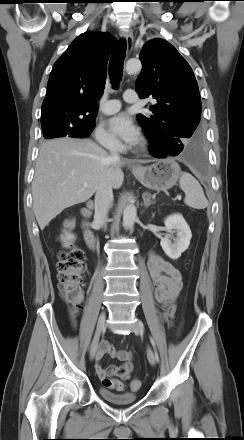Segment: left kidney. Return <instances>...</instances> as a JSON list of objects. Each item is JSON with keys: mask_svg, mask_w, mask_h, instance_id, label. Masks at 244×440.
Here are the masks:
<instances>
[{"mask_svg": "<svg viewBox=\"0 0 244 440\" xmlns=\"http://www.w3.org/2000/svg\"><path fill=\"white\" fill-rule=\"evenodd\" d=\"M164 224L169 234L161 239L160 245L169 258L178 259L190 245L192 237L190 227L181 214L170 215L165 219ZM173 230L177 232L174 243L171 241Z\"/></svg>", "mask_w": 244, "mask_h": 440, "instance_id": "5707ae66", "label": "left kidney"}]
</instances>
